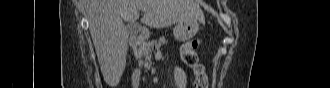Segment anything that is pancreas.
Here are the masks:
<instances>
[{"label": "pancreas", "instance_id": "1", "mask_svg": "<svg viewBox=\"0 0 330 88\" xmlns=\"http://www.w3.org/2000/svg\"><path fill=\"white\" fill-rule=\"evenodd\" d=\"M165 43H167L165 37H160L159 39L144 43L143 47L140 49V57L144 58L147 63L150 62L154 49H159Z\"/></svg>", "mask_w": 330, "mask_h": 88}]
</instances>
